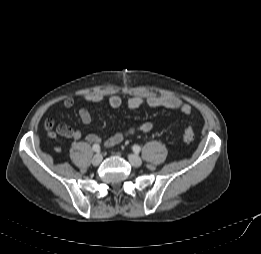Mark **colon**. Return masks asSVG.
<instances>
[{"instance_id": "1", "label": "colon", "mask_w": 261, "mask_h": 254, "mask_svg": "<svg viewBox=\"0 0 261 254\" xmlns=\"http://www.w3.org/2000/svg\"><path fill=\"white\" fill-rule=\"evenodd\" d=\"M195 134L190 126H185L183 129V139L185 142H192L194 140Z\"/></svg>"}]
</instances>
